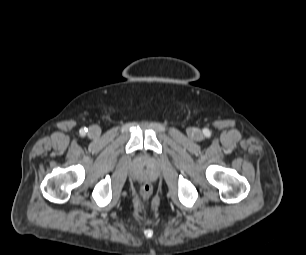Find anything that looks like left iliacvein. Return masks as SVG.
I'll return each mask as SVG.
<instances>
[{
	"label": "left iliac vein",
	"mask_w": 306,
	"mask_h": 255,
	"mask_svg": "<svg viewBox=\"0 0 306 255\" xmlns=\"http://www.w3.org/2000/svg\"><path fill=\"white\" fill-rule=\"evenodd\" d=\"M190 135L193 139L200 140L202 138V132L200 130H191Z\"/></svg>",
	"instance_id": "4c4485c4"
}]
</instances>
